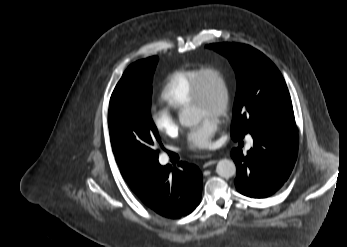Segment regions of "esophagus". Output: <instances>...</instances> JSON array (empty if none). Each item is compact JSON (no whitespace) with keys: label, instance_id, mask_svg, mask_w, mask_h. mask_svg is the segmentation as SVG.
<instances>
[{"label":"esophagus","instance_id":"1","mask_svg":"<svg viewBox=\"0 0 347 247\" xmlns=\"http://www.w3.org/2000/svg\"><path fill=\"white\" fill-rule=\"evenodd\" d=\"M214 156V154H208L206 157L207 158H211V157H213ZM217 163V160L216 159H209V160H207L205 163H204V165H203V167L204 168H207V167H209V166H211V165H214V164H216Z\"/></svg>","mask_w":347,"mask_h":247}]
</instances>
